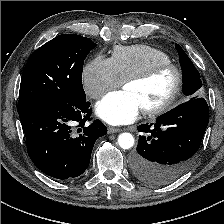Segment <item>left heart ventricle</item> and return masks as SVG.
Here are the masks:
<instances>
[{"mask_svg": "<svg viewBox=\"0 0 224 224\" xmlns=\"http://www.w3.org/2000/svg\"><path fill=\"white\" fill-rule=\"evenodd\" d=\"M174 74L164 71L145 82L129 83L124 89L133 93L139 100L142 109L156 106L163 102L174 86Z\"/></svg>", "mask_w": 224, "mask_h": 224, "instance_id": "obj_1", "label": "left heart ventricle"}]
</instances>
